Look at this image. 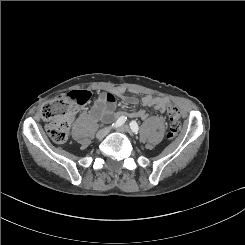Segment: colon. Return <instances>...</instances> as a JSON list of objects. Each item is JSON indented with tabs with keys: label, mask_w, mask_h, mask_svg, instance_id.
Masks as SVG:
<instances>
[{
	"label": "colon",
	"mask_w": 245,
	"mask_h": 245,
	"mask_svg": "<svg viewBox=\"0 0 245 245\" xmlns=\"http://www.w3.org/2000/svg\"><path fill=\"white\" fill-rule=\"evenodd\" d=\"M88 90H73L45 103L41 110L43 120L47 122L46 131L56 143H64L69 137V127L75 110L91 99ZM166 112L170 121L168 139L177 136L181 129L180 112L176 105L168 104Z\"/></svg>",
	"instance_id": "5ec220e1"
}]
</instances>
